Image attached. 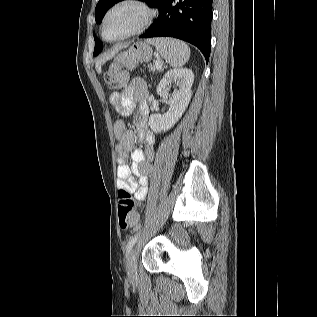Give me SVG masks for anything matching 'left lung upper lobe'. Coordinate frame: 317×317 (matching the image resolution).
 Listing matches in <instances>:
<instances>
[{
  "label": "left lung upper lobe",
  "mask_w": 317,
  "mask_h": 317,
  "mask_svg": "<svg viewBox=\"0 0 317 317\" xmlns=\"http://www.w3.org/2000/svg\"><path fill=\"white\" fill-rule=\"evenodd\" d=\"M119 1H122V0H100L98 4L96 5V9H95L96 23L97 24L101 23L102 18L104 14L106 13V11ZM140 1L146 2L150 7L159 8L163 0H140ZM94 39H95L94 55L96 56L102 50V43L98 38L94 37Z\"/></svg>",
  "instance_id": "obj_1"
}]
</instances>
